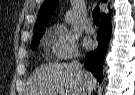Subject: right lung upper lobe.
I'll list each match as a JSON object with an SVG mask.
<instances>
[{"label": "right lung upper lobe", "mask_w": 135, "mask_h": 95, "mask_svg": "<svg viewBox=\"0 0 135 95\" xmlns=\"http://www.w3.org/2000/svg\"><path fill=\"white\" fill-rule=\"evenodd\" d=\"M102 1L106 2V0H102ZM56 3L57 0L44 1L37 17L35 32L45 31L46 25L55 9ZM103 16H107V15L102 14L101 17Z\"/></svg>", "instance_id": "cb5924a9"}]
</instances>
